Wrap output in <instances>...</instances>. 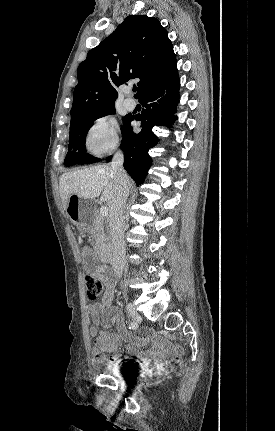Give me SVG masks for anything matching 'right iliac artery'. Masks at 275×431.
<instances>
[{
    "label": "right iliac artery",
    "instance_id": "1",
    "mask_svg": "<svg viewBox=\"0 0 275 431\" xmlns=\"http://www.w3.org/2000/svg\"><path fill=\"white\" fill-rule=\"evenodd\" d=\"M137 328V324L136 323H134V322H132L131 324H130V329H136Z\"/></svg>",
    "mask_w": 275,
    "mask_h": 431
}]
</instances>
